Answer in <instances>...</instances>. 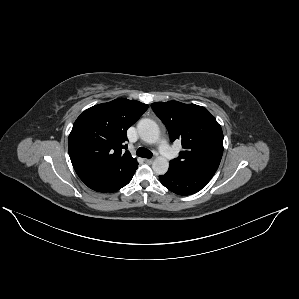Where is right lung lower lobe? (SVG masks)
<instances>
[{"instance_id": "98d812e1", "label": "right lung lower lobe", "mask_w": 299, "mask_h": 299, "mask_svg": "<svg viewBox=\"0 0 299 299\" xmlns=\"http://www.w3.org/2000/svg\"><path fill=\"white\" fill-rule=\"evenodd\" d=\"M137 167L138 165L130 168L129 170L118 172V173H111L104 177L90 180L84 183L89 188L97 192H102V193L115 192L120 188L124 187L125 185H127L131 181Z\"/></svg>"}]
</instances>
